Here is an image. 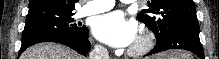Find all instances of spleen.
<instances>
[{
  "label": "spleen",
  "mask_w": 219,
  "mask_h": 59,
  "mask_svg": "<svg viewBox=\"0 0 219 59\" xmlns=\"http://www.w3.org/2000/svg\"><path fill=\"white\" fill-rule=\"evenodd\" d=\"M171 59H191L190 55L186 52H179L173 57H170Z\"/></svg>",
  "instance_id": "spleen-1"
}]
</instances>
